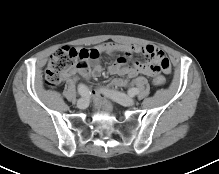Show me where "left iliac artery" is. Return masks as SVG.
<instances>
[{
    "instance_id": "1",
    "label": "left iliac artery",
    "mask_w": 219,
    "mask_h": 174,
    "mask_svg": "<svg viewBox=\"0 0 219 174\" xmlns=\"http://www.w3.org/2000/svg\"><path fill=\"white\" fill-rule=\"evenodd\" d=\"M139 93V90L137 88H131L129 90V95L134 96L137 95Z\"/></svg>"
}]
</instances>
